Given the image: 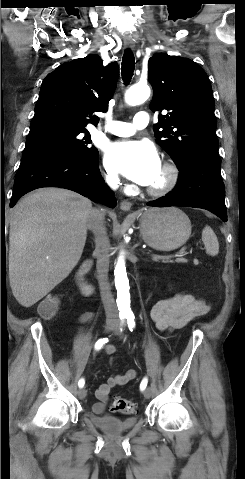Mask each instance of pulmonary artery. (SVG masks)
I'll list each match as a JSON object with an SVG mask.
<instances>
[{
    "instance_id": "1",
    "label": "pulmonary artery",
    "mask_w": 245,
    "mask_h": 479,
    "mask_svg": "<svg viewBox=\"0 0 245 479\" xmlns=\"http://www.w3.org/2000/svg\"><path fill=\"white\" fill-rule=\"evenodd\" d=\"M150 117L147 112H137L132 122L113 121L108 127L107 131L117 136H130L134 134L136 129H142L149 124Z\"/></svg>"
}]
</instances>
